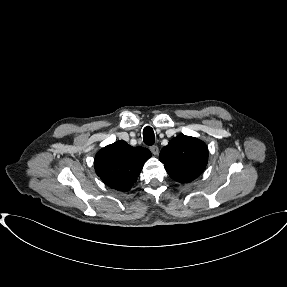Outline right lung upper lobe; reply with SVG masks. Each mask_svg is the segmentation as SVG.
<instances>
[{
	"label": "right lung upper lobe",
	"instance_id": "cb5924a9",
	"mask_svg": "<svg viewBox=\"0 0 287 287\" xmlns=\"http://www.w3.org/2000/svg\"><path fill=\"white\" fill-rule=\"evenodd\" d=\"M150 157L147 148H134L121 140L102 148L95 156L94 167L106 185L125 192L131 189Z\"/></svg>",
	"mask_w": 287,
	"mask_h": 287
}]
</instances>
